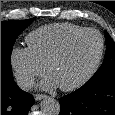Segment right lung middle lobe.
I'll list each match as a JSON object with an SVG mask.
<instances>
[{
  "instance_id": "1",
  "label": "right lung middle lobe",
  "mask_w": 115,
  "mask_h": 115,
  "mask_svg": "<svg viewBox=\"0 0 115 115\" xmlns=\"http://www.w3.org/2000/svg\"><path fill=\"white\" fill-rule=\"evenodd\" d=\"M34 18L1 22V76L12 75L11 52L18 35L30 25Z\"/></svg>"
}]
</instances>
